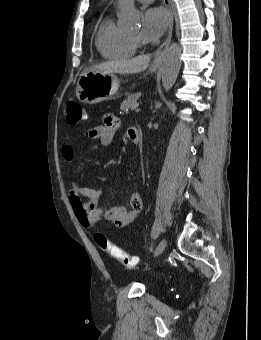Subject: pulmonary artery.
Segmentation results:
<instances>
[{
	"label": "pulmonary artery",
	"mask_w": 261,
	"mask_h": 340,
	"mask_svg": "<svg viewBox=\"0 0 261 340\" xmlns=\"http://www.w3.org/2000/svg\"><path fill=\"white\" fill-rule=\"evenodd\" d=\"M138 1L141 2V3H149V2H151L153 0H138Z\"/></svg>",
	"instance_id": "1"
}]
</instances>
